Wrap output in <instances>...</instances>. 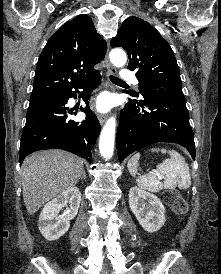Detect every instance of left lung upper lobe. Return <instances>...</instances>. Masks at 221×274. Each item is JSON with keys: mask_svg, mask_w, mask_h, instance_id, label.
I'll return each instance as SVG.
<instances>
[{"mask_svg": "<svg viewBox=\"0 0 221 274\" xmlns=\"http://www.w3.org/2000/svg\"><path fill=\"white\" fill-rule=\"evenodd\" d=\"M110 44L127 51L128 69L136 70L142 96L185 99L175 55L168 42L148 22L128 17ZM126 93L138 96L135 91Z\"/></svg>", "mask_w": 221, "mask_h": 274, "instance_id": "1", "label": "left lung upper lobe"}]
</instances>
